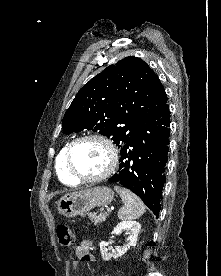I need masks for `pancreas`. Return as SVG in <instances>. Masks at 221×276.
Returning <instances> with one entry per match:
<instances>
[{
  "label": "pancreas",
  "instance_id": "1",
  "mask_svg": "<svg viewBox=\"0 0 221 276\" xmlns=\"http://www.w3.org/2000/svg\"><path fill=\"white\" fill-rule=\"evenodd\" d=\"M88 216L92 223L98 225L106 220L108 214L100 213L99 215H97L96 213H90Z\"/></svg>",
  "mask_w": 221,
  "mask_h": 276
}]
</instances>
